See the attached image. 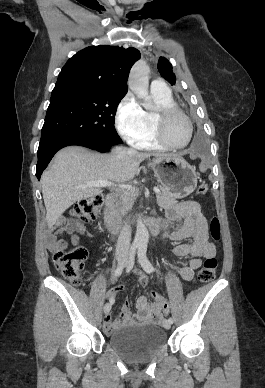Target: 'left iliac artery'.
I'll return each mask as SVG.
<instances>
[{
    "label": "left iliac artery",
    "mask_w": 265,
    "mask_h": 388,
    "mask_svg": "<svg viewBox=\"0 0 265 388\" xmlns=\"http://www.w3.org/2000/svg\"><path fill=\"white\" fill-rule=\"evenodd\" d=\"M146 251H147V246L145 244H141L139 246V249H138V260H139L141 266L143 267V269L147 273H151V272L155 271V268L153 267L151 262L148 260L147 255H146ZM168 321L172 324L173 318L170 317L168 319Z\"/></svg>",
    "instance_id": "left-iliac-artery-1"
}]
</instances>
